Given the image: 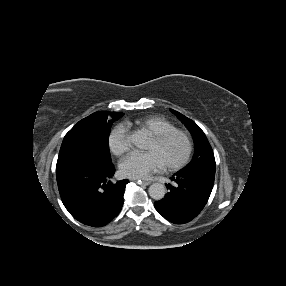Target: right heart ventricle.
Instances as JSON below:
<instances>
[{
	"instance_id": "obj_1",
	"label": "right heart ventricle",
	"mask_w": 286,
	"mask_h": 286,
	"mask_svg": "<svg viewBox=\"0 0 286 286\" xmlns=\"http://www.w3.org/2000/svg\"><path fill=\"white\" fill-rule=\"evenodd\" d=\"M126 125H134L136 128L145 129L152 135H157L166 131L177 129V126L173 122L161 116L145 117L135 121L133 124L127 122Z\"/></svg>"
}]
</instances>
